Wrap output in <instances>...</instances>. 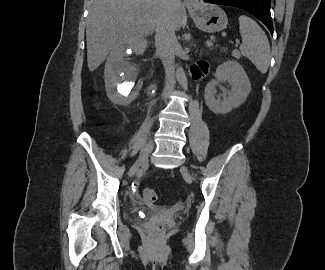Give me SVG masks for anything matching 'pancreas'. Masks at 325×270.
Listing matches in <instances>:
<instances>
[{
  "label": "pancreas",
  "mask_w": 325,
  "mask_h": 270,
  "mask_svg": "<svg viewBox=\"0 0 325 270\" xmlns=\"http://www.w3.org/2000/svg\"><path fill=\"white\" fill-rule=\"evenodd\" d=\"M232 56L235 57L236 59H239L241 57L240 53L237 50H234L232 52Z\"/></svg>",
  "instance_id": "obj_1"
}]
</instances>
